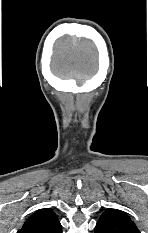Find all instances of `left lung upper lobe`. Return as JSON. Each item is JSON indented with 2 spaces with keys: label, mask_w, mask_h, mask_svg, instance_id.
Here are the masks:
<instances>
[{
  "label": "left lung upper lobe",
  "mask_w": 148,
  "mask_h": 233,
  "mask_svg": "<svg viewBox=\"0 0 148 233\" xmlns=\"http://www.w3.org/2000/svg\"><path fill=\"white\" fill-rule=\"evenodd\" d=\"M95 233H140V231L128 215L110 208L101 215Z\"/></svg>",
  "instance_id": "5c2ea615"
}]
</instances>
